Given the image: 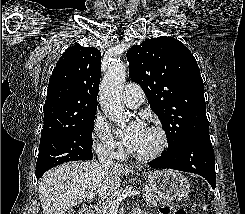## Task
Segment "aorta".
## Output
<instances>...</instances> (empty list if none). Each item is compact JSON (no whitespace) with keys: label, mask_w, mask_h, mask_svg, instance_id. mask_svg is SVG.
Instances as JSON below:
<instances>
[{"label":"aorta","mask_w":245,"mask_h":214,"mask_svg":"<svg viewBox=\"0 0 245 214\" xmlns=\"http://www.w3.org/2000/svg\"><path fill=\"white\" fill-rule=\"evenodd\" d=\"M127 75V65L115 62L110 65L100 85V105L104 114L117 125L124 126L128 119L122 103V90Z\"/></svg>","instance_id":"762f6f07"}]
</instances>
